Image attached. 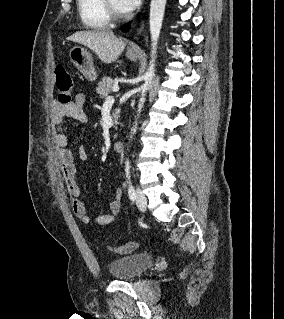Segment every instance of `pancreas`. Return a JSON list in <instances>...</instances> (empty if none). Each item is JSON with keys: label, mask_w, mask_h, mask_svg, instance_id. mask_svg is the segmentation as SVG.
Returning a JSON list of instances; mask_svg holds the SVG:
<instances>
[{"label": "pancreas", "mask_w": 284, "mask_h": 319, "mask_svg": "<svg viewBox=\"0 0 284 319\" xmlns=\"http://www.w3.org/2000/svg\"><path fill=\"white\" fill-rule=\"evenodd\" d=\"M117 81L115 79H111L110 77H103L102 80L98 83V87L96 88L97 94L100 95L101 98H107L108 94L112 92L113 86H115ZM117 114L118 110L116 109L113 112L114 122L117 123Z\"/></svg>", "instance_id": "pancreas-1"}]
</instances>
